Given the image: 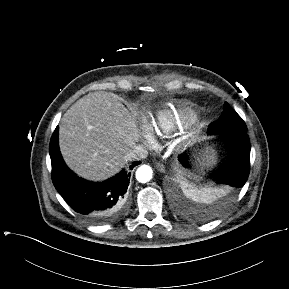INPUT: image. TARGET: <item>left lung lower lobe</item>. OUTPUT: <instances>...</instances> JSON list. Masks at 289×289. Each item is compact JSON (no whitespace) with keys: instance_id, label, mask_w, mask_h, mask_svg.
I'll use <instances>...</instances> for the list:
<instances>
[{"instance_id":"left-lung-lower-lobe-1","label":"left lung lower lobe","mask_w":289,"mask_h":289,"mask_svg":"<svg viewBox=\"0 0 289 289\" xmlns=\"http://www.w3.org/2000/svg\"><path fill=\"white\" fill-rule=\"evenodd\" d=\"M221 133L228 142L230 154L216 181L218 184L226 185L228 191L234 192L245 184L249 175L250 142L244 130H228ZM189 154L185 152L178 156L184 167L190 166Z\"/></svg>"}]
</instances>
